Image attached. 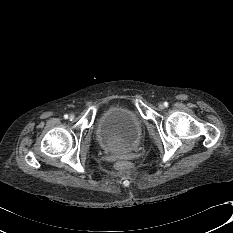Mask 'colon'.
Returning a JSON list of instances; mask_svg holds the SVG:
<instances>
[{
    "mask_svg": "<svg viewBox=\"0 0 233 233\" xmlns=\"http://www.w3.org/2000/svg\"><path fill=\"white\" fill-rule=\"evenodd\" d=\"M117 168L120 169V170L125 169L126 168V164L124 162H119L117 164Z\"/></svg>",
    "mask_w": 233,
    "mask_h": 233,
    "instance_id": "1",
    "label": "colon"
}]
</instances>
